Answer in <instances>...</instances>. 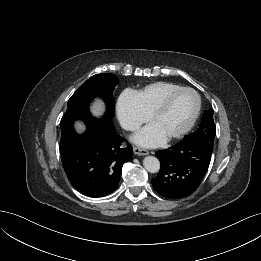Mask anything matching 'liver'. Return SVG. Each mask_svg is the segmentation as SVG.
I'll use <instances>...</instances> for the list:
<instances>
[{"instance_id":"liver-1","label":"liver","mask_w":261,"mask_h":261,"mask_svg":"<svg viewBox=\"0 0 261 261\" xmlns=\"http://www.w3.org/2000/svg\"><path fill=\"white\" fill-rule=\"evenodd\" d=\"M90 108H91L92 114L94 116H98V117L103 114L104 109H105L104 103L100 99L94 100V102L92 103ZM75 128L78 133H82L85 129L84 125L81 122H76Z\"/></svg>"}]
</instances>
